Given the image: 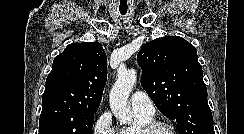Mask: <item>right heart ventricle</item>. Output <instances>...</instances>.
I'll return each instance as SVG.
<instances>
[{
	"label": "right heart ventricle",
	"mask_w": 244,
	"mask_h": 134,
	"mask_svg": "<svg viewBox=\"0 0 244 134\" xmlns=\"http://www.w3.org/2000/svg\"><path fill=\"white\" fill-rule=\"evenodd\" d=\"M135 116L137 122L133 127L121 128L116 132V134H138L141 126L153 120V116H147L137 112H135Z\"/></svg>",
	"instance_id": "1"
}]
</instances>
